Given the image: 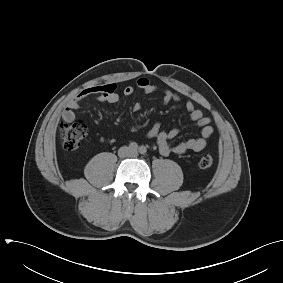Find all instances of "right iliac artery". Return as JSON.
I'll return each mask as SVG.
<instances>
[{
  "label": "right iliac artery",
  "instance_id": "1",
  "mask_svg": "<svg viewBox=\"0 0 283 283\" xmlns=\"http://www.w3.org/2000/svg\"><path fill=\"white\" fill-rule=\"evenodd\" d=\"M129 148H130L131 150H137V149H138V144H137L136 142H131V143L129 144Z\"/></svg>",
  "mask_w": 283,
  "mask_h": 283
}]
</instances>
